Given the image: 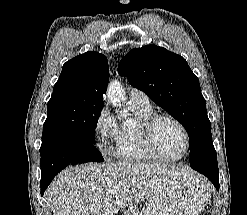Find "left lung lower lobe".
<instances>
[{
	"mask_svg": "<svg viewBox=\"0 0 247 215\" xmlns=\"http://www.w3.org/2000/svg\"><path fill=\"white\" fill-rule=\"evenodd\" d=\"M190 166L205 175L219 189V169L213 144L208 143L190 153Z\"/></svg>",
	"mask_w": 247,
	"mask_h": 215,
	"instance_id": "left-lung-lower-lobe-1",
	"label": "left lung lower lobe"
}]
</instances>
